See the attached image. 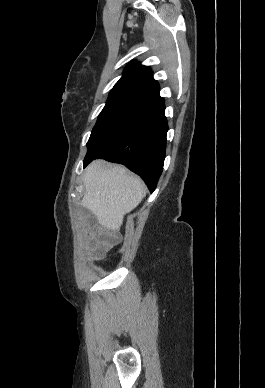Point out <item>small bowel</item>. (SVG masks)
I'll list each match as a JSON object with an SVG mask.
<instances>
[{"label":"small bowel","mask_w":265,"mask_h":388,"mask_svg":"<svg viewBox=\"0 0 265 388\" xmlns=\"http://www.w3.org/2000/svg\"><path fill=\"white\" fill-rule=\"evenodd\" d=\"M89 227L94 229L99 228V224L95 223L93 219H88ZM118 239V235L114 229H111L108 236L104 240L96 241L92 246V254L95 258H99L110 248L111 244Z\"/></svg>","instance_id":"1"}]
</instances>
